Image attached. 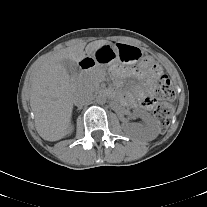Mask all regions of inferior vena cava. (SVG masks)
Listing matches in <instances>:
<instances>
[{
	"mask_svg": "<svg viewBox=\"0 0 207 207\" xmlns=\"http://www.w3.org/2000/svg\"><path fill=\"white\" fill-rule=\"evenodd\" d=\"M94 99L93 94L87 89H81L74 96V103L77 106L90 104Z\"/></svg>",
	"mask_w": 207,
	"mask_h": 207,
	"instance_id": "1",
	"label": "inferior vena cava"
}]
</instances>
